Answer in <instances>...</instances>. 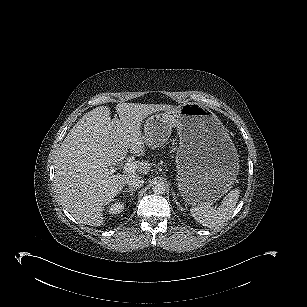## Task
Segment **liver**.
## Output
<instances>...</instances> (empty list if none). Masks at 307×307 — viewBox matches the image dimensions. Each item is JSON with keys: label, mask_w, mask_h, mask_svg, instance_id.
Instances as JSON below:
<instances>
[{"label": "liver", "mask_w": 307, "mask_h": 307, "mask_svg": "<svg viewBox=\"0 0 307 307\" xmlns=\"http://www.w3.org/2000/svg\"><path fill=\"white\" fill-rule=\"evenodd\" d=\"M177 107L119 103V119H111L110 108L100 106L75 124L57 152L54 184L62 205L77 221L101 226L103 205L113 201L130 177L149 172L151 166L145 161L135 163V172L123 175H110L108 167L121 162L128 151L143 156L151 138L141 133L142 120Z\"/></svg>", "instance_id": "1"}]
</instances>
